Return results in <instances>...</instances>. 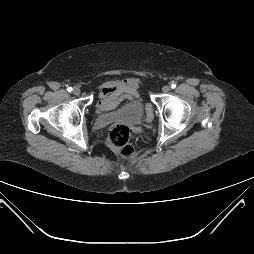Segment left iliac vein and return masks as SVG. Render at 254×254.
<instances>
[{"mask_svg": "<svg viewBox=\"0 0 254 254\" xmlns=\"http://www.w3.org/2000/svg\"><path fill=\"white\" fill-rule=\"evenodd\" d=\"M163 93H168L170 91V87L168 85L163 86L162 88Z\"/></svg>", "mask_w": 254, "mask_h": 254, "instance_id": "4c4485c4", "label": "left iliac vein"}]
</instances>
